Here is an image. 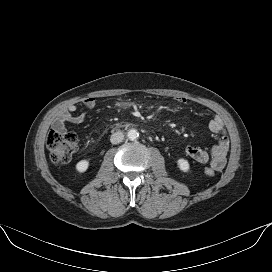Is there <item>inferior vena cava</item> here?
Here are the masks:
<instances>
[{
  "instance_id": "602c4592",
  "label": "inferior vena cava",
  "mask_w": 272,
  "mask_h": 272,
  "mask_svg": "<svg viewBox=\"0 0 272 272\" xmlns=\"http://www.w3.org/2000/svg\"><path fill=\"white\" fill-rule=\"evenodd\" d=\"M124 139V134L121 131L115 132L111 135L110 141L112 144H118Z\"/></svg>"
}]
</instances>
